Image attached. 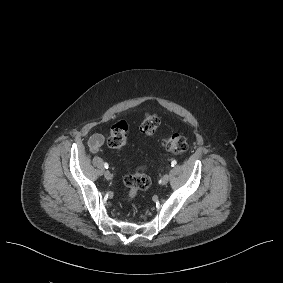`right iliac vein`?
<instances>
[{"label": "right iliac vein", "mask_w": 283, "mask_h": 283, "mask_svg": "<svg viewBox=\"0 0 283 283\" xmlns=\"http://www.w3.org/2000/svg\"><path fill=\"white\" fill-rule=\"evenodd\" d=\"M104 177H105L106 179H110V178H111V173H110V171L106 170V171L104 172Z\"/></svg>", "instance_id": "63e3f726"}]
</instances>
